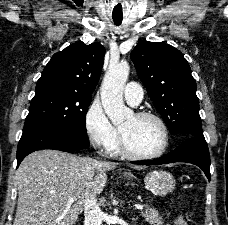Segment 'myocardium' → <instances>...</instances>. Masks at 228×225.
Returning <instances> with one entry per match:
<instances>
[{"mask_svg": "<svg viewBox=\"0 0 228 225\" xmlns=\"http://www.w3.org/2000/svg\"><path fill=\"white\" fill-rule=\"evenodd\" d=\"M135 117H137L138 119H147V118L153 119L156 122H158V124L161 126V128L163 130V134H164L163 145H162L161 149L154 154H142V153L136 152L128 145L125 134L121 130L120 131V149H121V151L125 155H127L131 158H134V159L153 160V159L160 158L166 152V150L169 146V142H170V132H169V128H168L166 122L160 116L153 114V113H149V112L136 113Z\"/></svg>", "mask_w": 228, "mask_h": 225, "instance_id": "f54148a6", "label": "myocardium"}]
</instances>
